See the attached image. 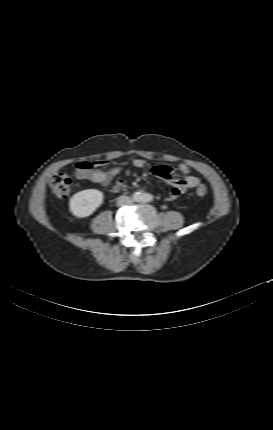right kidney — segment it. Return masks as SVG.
<instances>
[{"label":"right kidney","instance_id":"ca27d5eb","mask_svg":"<svg viewBox=\"0 0 273 430\" xmlns=\"http://www.w3.org/2000/svg\"><path fill=\"white\" fill-rule=\"evenodd\" d=\"M103 193L97 189H86L75 193L70 201V212L78 218L92 215L103 203Z\"/></svg>","mask_w":273,"mask_h":430}]
</instances>
